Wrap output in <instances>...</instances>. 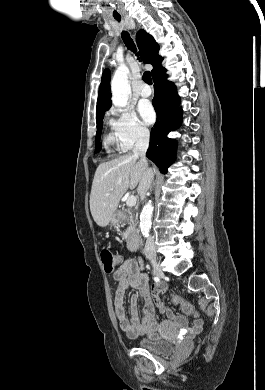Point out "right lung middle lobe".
Listing matches in <instances>:
<instances>
[{"label":"right lung middle lobe","instance_id":"obj_1","mask_svg":"<svg viewBox=\"0 0 265 390\" xmlns=\"http://www.w3.org/2000/svg\"><path fill=\"white\" fill-rule=\"evenodd\" d=\"M103 116H101L100 118L97 119V133H96V138H95V153H98L102 148L99 140H100V136H101V130L103 127V125H102Z\"/></svg>","mask_w":265,"mask_h":390}]
</instances>
